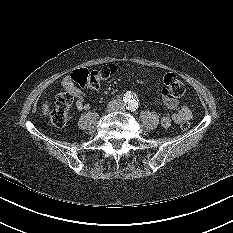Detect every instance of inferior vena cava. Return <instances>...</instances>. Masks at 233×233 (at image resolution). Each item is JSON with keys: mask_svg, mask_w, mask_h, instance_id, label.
<instances>
[{"mask_svg": "<svg viewBox=\"0 0 233 233\" xmlns=\"http://www.w3.org/2000/svg\"><path fill=\"white\" fill-rule=\"evenodd\" d=\"M108 109H109L110 111H111V110H115V108L113 107V103H109Z\"/></svg>", "mask_w": 233, "mask_h": 233, "instance_id": "1", "label": "inferior vena cava"}]
</instances>
